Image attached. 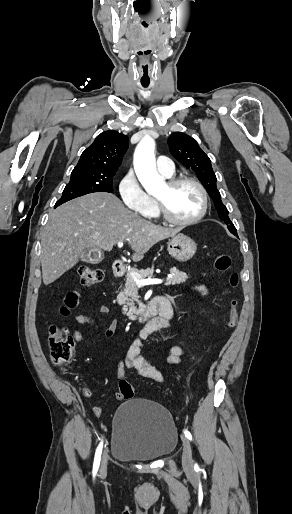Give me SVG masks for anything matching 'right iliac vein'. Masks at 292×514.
Returning a JSON list of instances; mask_svg holds the SVG:
<instances>
[{
	"label": "right iliac vein",
	"mask_w": 292,
	"mask_h": 514,
	"mask_svg": "<svg viewBox=\"0 0 292 514\" xmlns=\"http://www.w3.org/2000/svg\"><path fill=\"white\" fill-rule=\"evenodd\" d=\"M108 451H104L103 458H102V464L100 469V475H104L107 471V465H108Z\"/></svg>",
	"instance_id": "63e3f726"
}]
</instances>
